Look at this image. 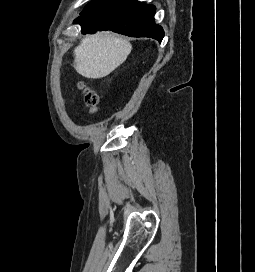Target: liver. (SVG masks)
Wrapping results in <instances>:
<instances>
[{
  "label": "liver",
  "mask_w": 255,
  "mask_h": 272,
  "mask_svg": "<svg viewBox=\"0 0 255 272\" xmlns=\"http://www.w3.org/2000/svg\"><path fill=\"white\" fill-rule=\"evenodd\" d=\"M131 50L127 39L112 33L88 35L74 49L75 69L89 79L106 77L126 60Z\"/></svg>",
  "instance_id": "1"
}]
</instances>
